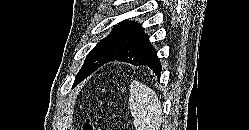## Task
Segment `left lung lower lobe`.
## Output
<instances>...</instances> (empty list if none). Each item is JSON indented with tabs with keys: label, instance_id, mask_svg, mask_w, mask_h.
Segmentation results:
<instances>
[{
	"label": "left lung lower lobe",
	"instance_id": "1",
	"mask_svg": "<svg viewBox=\"0 0 249 130\" xmlns=\"http://www.w3.org/2000/svg\"><path fill=\"white\" fill-rule=\"evenodd\" d=\"M114 60L127 62L135 66H148L157 75L162 70L157 52L149 41V36L144 32H141L120 53L107 62Z\"/></svg>",
	"mask_w": 249,
	"mask_h": 130
}]
</instances>
